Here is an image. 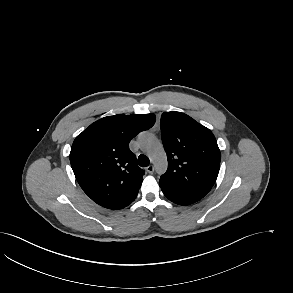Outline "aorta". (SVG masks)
<instances>
[{"mask_svg":"<svg viewBox=\"0 0 293 293\" xmlns=\"http://www.w3.org/2000/svg\"><path fill=\"white\" fill-rule=\"evenodd\" d=\"M139 142L141 148L153 162L156 171L158 173H164L167 169V158L158 139L152 134L143 133L139 138Z\"/></svg>","mask_w":293,"mask_h":293,"instance_id":"762f6f07","label":"aorta"}]
</instances>
